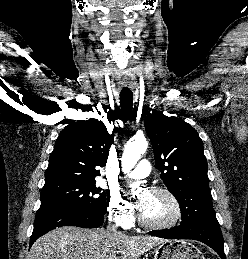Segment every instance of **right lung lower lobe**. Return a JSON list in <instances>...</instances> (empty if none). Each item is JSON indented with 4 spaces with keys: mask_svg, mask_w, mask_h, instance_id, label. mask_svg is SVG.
Wrapping results in <instances>:
<instances>
[{
    "mask_svg": "<svg viewBox=\"0 0 248 259\" xmlns=\"http://www.w3.org/2000/svg\"><path fill=\"white\" fill-rule=\"evenodd\" d=\"M104 222V216H91L81 210L60 206H41L37 211L34 230L30 238V247L37 238L62 226L98 228Z\"/></svg>",
    "mask_w": 248,
    "mask_h": 259,
    "instance_id": "right-lung-lower-lobe-1",
    "label": "right lung lower lobe"
}]
</instances>
